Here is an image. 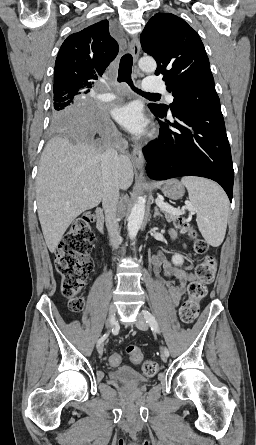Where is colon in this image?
<instances>
[{"label":"colon","instance_id":"5ec220e1","mask_svg":"<svg viewBox=\"0 0 256 445\" xmlns=\"http://www.w3.org/2000/svg\"><path fill=\"white\" fill-rule=\"evenodd\" d=\"M92 221L91 213L78 216L62 237L55 253L56 269L60 275V290L62 295L69 300V309L73 313H78L83 308L80 293L93 270V262L89 256L94 242V234L91 230ZM177 224L189 236H196L194 229L184 218H179ZM194 251L199 255H204V258L196 268V278L189 283L187 298L179 310L180 320L186 325L196 320L200 301L206 297L217 269L216 258L207 254L208 244L204 240H195ZM127 352L133 363L142 361L143 354L137 347L129 346ZM109 360L112 365H118L122 361V356L114 353ZM142 370L146 376H153L158 370V365L154 361H146Z\"/></svg>","mask_w":256,"mask_h":445}]
</instances>
